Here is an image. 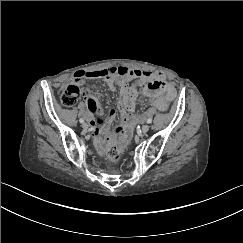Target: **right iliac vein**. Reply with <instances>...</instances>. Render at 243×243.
<instances>
[{
	"label": "right iliac vein",
	"mask_w": 243,
	"mask_h": 243,
	"mask_svg": "<svg viewBox=\"0 0 243 243\" xmlns=\"http://www.w3.org/2000/svg\"><path fill=\"white\" fill-rule=\"evenodd\" d=\"M82 127H83V129L86 130V129H88L89 125H88V123H83V124H82Z\"/></svg>",
	"instance_id": "63e3f726"
}]
</instances>
